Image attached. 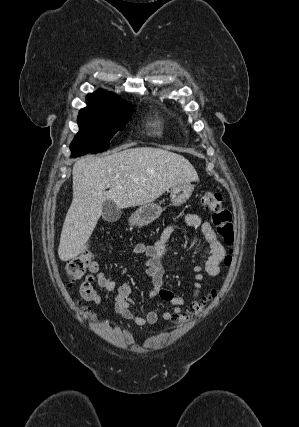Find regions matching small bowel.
Segmentation results:
<instances>
[{"label":"small bowel","instance_id":"c3829d8e","mask_svg":"<svg viewBox=\"0 0 299 427\" xmlns=\"http://www.w3.org/2000/svg\"><path fill=\"white\" fill-rule=\"evenodd\" d=\"M184 220L188 226L200 228L204 238L210 246V255L205 259L202 265L198 264L196 260H193L195 281L189 293V298L195 300L201 294L204 274L212 278L219 275L220 265L225 259L226 250L218 240L211 224L207 221H203L198 214H187ZM174 231L175 225L170 224L163 229L153 243H138L133 248L134 254L144 256V272L151 278L153 283V290L149 297L153 298L159 295L171 305L170 311H164L160 314L155 311H150L145 316L139 315L132 306V287L130 284H118L108 279L100 272L99 261H94L91 264L90 274L85 277L80 285L79 292L82 298L97 305H109L119 313L122 318L133 321L139 326L155 324L159 319L164 321L175 319L181 313L185 299L163 287V259L167 253L168 243ZM95 283L105 290L116 291L115 296L111 298L101 296L94 288Z\"/></svg>","mask_w":299,"mask_h":427}]
</instances>
